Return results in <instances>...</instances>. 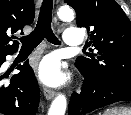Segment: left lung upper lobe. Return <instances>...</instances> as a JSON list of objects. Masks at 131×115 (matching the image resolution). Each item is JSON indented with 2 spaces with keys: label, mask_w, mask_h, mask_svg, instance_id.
Returning <instances> with one entry per match:
<instances>
[{
  "label": "left lung upper lobe",
  "mask_w": 131,
  "mask_h": 115,
  "mask_svg": "<svg viewBox=\"0 0 131 115\" xmlns=\"http://www.w3.org/2000/svg\"><path fill=\"white\" fill-rule=\"evenodd\" d=\"M65 2L76 11L77 26L92 30L89 45L97 50L78 57L77 68L103 82L131 83V22L122 8L114 0Z\"/></svg>",
  "instance_id": "5c2ea615"
}]
</instances>
